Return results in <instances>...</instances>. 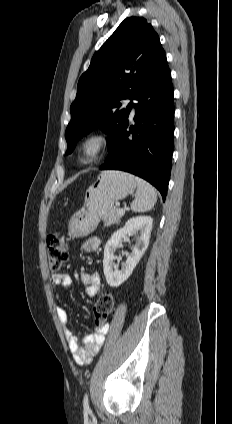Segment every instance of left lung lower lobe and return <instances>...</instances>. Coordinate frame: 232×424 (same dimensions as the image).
I'll use <instances>...</instances> for the list:
<instances>
[{
	"instance_id": "1",
	"label": "left lung lower lobe",
	"mask_w": 232,
	"mask_h": 424,
	"mask_svg": "<svg viewBox=\"0 0 232 424\" xmlns=\"http://www.w3.org/2000/svg\"><path fill=\"white\" fill-rule=\"evenodd\" d=\"M129 104L135 108V124L127 131L126 118L101 170H122L135 174L155 186L166 198L171 173L174 138V91L166 57Z\"/></svg>"
}]
</instances>
